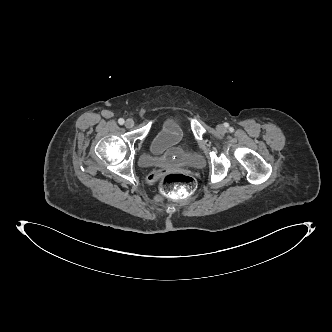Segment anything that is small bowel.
Returning <instances> with one entry per match:
<instances>
[{
  "instance_id": "1",
  "label": "small bowel",
  "mask_w": 332,
  "mask_h": 332,
  "mask_svg": "<svg viewBox=\"0 0 332 332\" xmlns=\"http://www.w3.org/2000/svg\"><path fill=\"white\" fill-rule=\"evenodd\" d=\"M163 134L156 141V148L161 153H168L174 146L184 148L189 143V136L184 131H180V127L175 122H168L163 127Z\"/></svg>"
}]
</instances>
